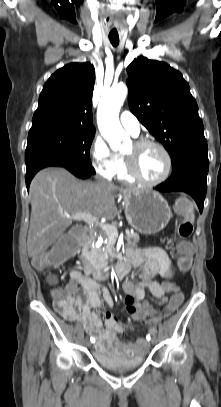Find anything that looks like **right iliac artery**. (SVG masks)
<instances>
[{
    "mask_svg": "<svg viewBox=\"0 0 221 407\" xmlns=\"http://www.w3.org/2000/svg\"><path fill=\"white\" fill-rule=\"evenodd\" d=\"M90 340H91L92 343H94V341H95V339L93 337H91Z\"/></svg>",
    "mask_w": 221,
    "mask_h": 407,
    "instance_id": "right-iliac-artery-1",
    "label": "right iliac artery"
}]
</instances>
